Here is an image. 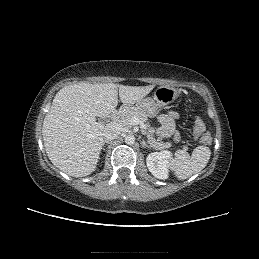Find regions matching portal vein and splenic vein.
<instances>
[{
    "label": "portal vein and splenic vein",
    "instance_id": "obj_1",
    "mask_svg": "<svg viewBox=\"0 0 259 259\" xmlns=\"http://www.w3.org/2000/svg\"><path fill=\"white\" fill-rule=\"evenodd\" d=\"M131 124L132 125H138V124H142V122L136 118V117H133L131 120H130Z\"/></svg>",
    "mask_w": 259,
    "mask_h": 259
}]
</instances>
